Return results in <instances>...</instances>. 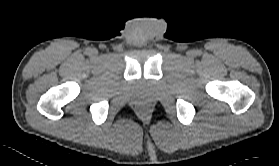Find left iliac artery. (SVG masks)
Instances as JSON below:
<instances>
[{"instance_id":"left-iliac-artery-1","label":"left iliac artery","mask_w":279,"mask_h":166,"mask_svg":"<svg viewBox=\"0 0 279 166\" xmlns=\"http://www.w3.org/2000/svg\"><path fill=\"white\" fill-rule=\"evenodd\" d=\"M196 54H198V55H199V54H200V52H199V51H197V53H196Z\"/></svg>"}]
</instances>
